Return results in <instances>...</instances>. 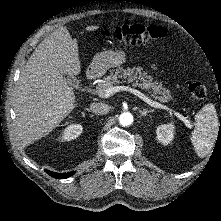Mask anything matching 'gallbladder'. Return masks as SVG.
<instances>
[{
    "instance_id": "gallbladder-1",
    "label": "gallbladder",
    "mask_w": 221,
    "mask_h": 221,
    "mask_svg": "<svg viewBox=\"0 0 221 221\" xmlns=\"http://www.w3.org/2000/svg\"><path fill=\"white\" fill-rule=\"evenodd\" d=\"M67 81L72 87H78L79 85V80L74 76H68Z\"/></svg>"
}]
</instances>
